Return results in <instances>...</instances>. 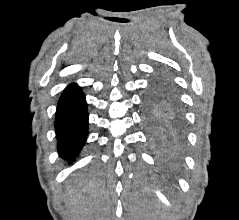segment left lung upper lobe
<instances>
[{"mask_svg": "<svg viewBox=\"0 0 239 220\" xmlns=\"http://www.w3.org/2000/svg\"><path fill=\"white\" fill-rule=\"evenodd\" d=\"M145 108L147 123L154 130L162 127L175 111L180 110L176 92L166 75L159 76L152 85Z\"/></svg>", "mask_w": 239, "mask_h": 220, "instance_id": "5c2ea615", "label": "left lung upper lobe"}]
</instances>
